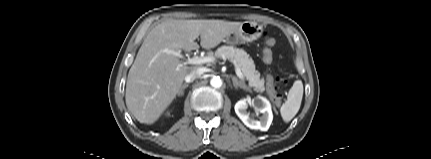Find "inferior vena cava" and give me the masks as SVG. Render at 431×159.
<instances>
[{
    "label": "inferior vena cava",
    "mask_w": 431,
    "mask_h": 159,
    "mask_svg": "<svg viewBox=\"0 0 431 159\" xmlns=\"http://www.w3.org/2000/svg\"><path fill=\"white\" fill-rule=\"evenodd\" d=\"M203 73H204L203 68H196L185 76V81L191 82V81L195 80L196 78H198L199 76H201Z\"/></svg>",
    "instance_id": "1"
}]
</instances>
